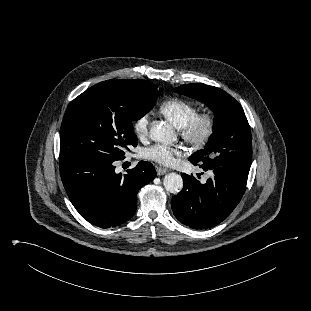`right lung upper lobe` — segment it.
Returning a JSON list of instances; mask_svg holds the SVG:
<instances>
[{"instance_id":"cb5924a9","label":"right lung upper lobe","mask_w":311,"mask_h":311,"mask_svg":"<svg viewBox=\"0 0 311 311\" xmlns=\"http://www.w3.org/2000/svg\"><path fill=\"white\" fill-rule=\"evenodd\" d=\"M131 80H133V79H131ZM134 81L139 82V83H146V82H149V81H145V80H134Z\"/></svg>"}]
</instances>
